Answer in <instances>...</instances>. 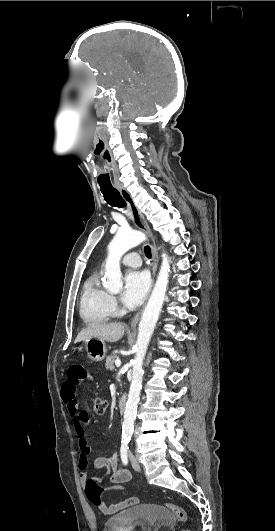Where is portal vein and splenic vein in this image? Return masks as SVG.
<instances>
[{
    "label": "portal vein and splenic vein",
    "instance_id": "18ae733b",
    "mask_svg": "<svg viewBox=\"0 0 275 531\" xmlns=\"http://www.w3.org/2000/svg\"><path fill=\"white\" fill-rule=\"evenodd\" d=\"M115 365H116V367H120V365H121L120 359H116Z\"/></svg>",
    "mask_w": 275,
    "mask_h": 531
}]
</instances>
